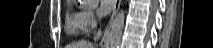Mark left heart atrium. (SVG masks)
Wrapping results in <instances>:
<instances>
[{
    "mask_svg": "<svg viewBox=\"0 0 213 48\" xmlns=\"http://www.w3.org/2000/svg\"><path fill=\"white\" fill-rule=\"evenodd\" d=\"M115 1L114 0H100L98 2V12L100 15L104 16L111 12L113 9Z\"/></svg>",
    "mask_w": 213,
    "mask_h": 48,
    "instance_id": "39dd6f15",
    "label": "left heart atrium"
}]
</instances>
